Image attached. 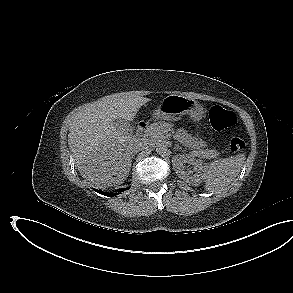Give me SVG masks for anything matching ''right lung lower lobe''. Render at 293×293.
Instances as JSON below:
<instances>
[{
    "mask_svg": "<svg viewBox=\"0 0 293 293\" xmlns=\"http://www.w3.org/2000/svg\"><path fill=\"white\" fill-rule=\"evenodd\" d=\"M125 189H127V188H123L122 189V191L123 190H125ZM96 192H98V193H100V194H103V195H105V196H114L115 194H109V193H105V192H103V191H100V190H97V189H94Z\"/></svg>",
    "mask_w": 293,
    "mask_h": 293,
    "instance_id": "obj_1",
    "label": "right lung lower lobe"
}]
</instances>
